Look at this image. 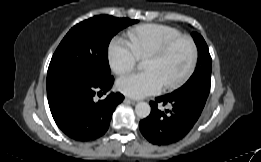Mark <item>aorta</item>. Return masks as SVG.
<instances>
[{"instance_id":"obj_1","label":"aorta","mask_w":261,"mask_h":162,"mask_svg":"<svg viewBox=\"0 0 261 162\" xmlns=\"http://www.w3.org/2000/svg\"><path fill=\"white\" fill-rule=\"evenodd\" d=\"M151 112V107L148 103L146 102H139L135 106V113L138 117L140 118H146L149 116Z\"/></svg>"}]
</instances>
